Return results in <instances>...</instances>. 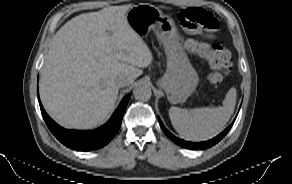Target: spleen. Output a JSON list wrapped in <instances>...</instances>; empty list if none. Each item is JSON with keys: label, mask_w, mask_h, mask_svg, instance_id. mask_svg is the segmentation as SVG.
I'll return each mask as SVG.
<instances>
[{"label": "spleen", "mask_w": 292, "mask_h": 184, "mask_svg": "<svg viewBox=\"0 0 292 184\" xmlns=\"http://www.w3.org/2000/svg\"><path fill=\"white\" fill-rule=\"evenodd\" d=\"M236 89L231 88L223 106L204 107L192 110L171 107L169 117L179 135L189 141H204L222 131L234 112Z\"/></svg>", "instance_id": "spleen-1"}]
</instances>
